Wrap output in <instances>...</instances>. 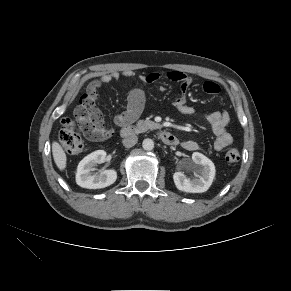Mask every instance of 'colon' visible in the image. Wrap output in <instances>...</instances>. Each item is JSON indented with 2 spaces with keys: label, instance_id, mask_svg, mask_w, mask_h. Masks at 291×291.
Here are the masks:
<instances>
[{
  "label": "colon",
  "instance_id": "obj_1",
  "mask_svg": "<svg viewBox=\"0 0 291 291\" xmlns=\"http://www.w3.org/2000/svg\"><path fill=\"white\" fill-rule=\"evenodd\" d=\"M97 91L88 90L80 100V106L75 112L73 118H67L62 122L59 131V140L63 149L70 154H78L84 149L82 133L90 134L98 118L96 102ZM113 131V129L111 128ZM240 159L239 151L229 149L225 154V160L228 163H236Z\"/></svg>",
  "mask_w": 291,
  "mask_h": 291
}]
</instances>
